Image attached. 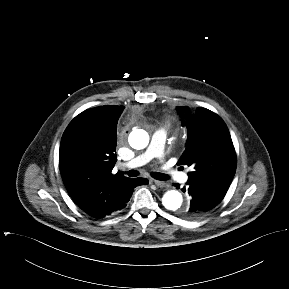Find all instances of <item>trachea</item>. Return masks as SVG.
I'll list each match as a JSON object with an SVG mask.
<instances>
[{
  "label": "trachea",
  "mask_w": 289,
  "mask_h": 289,
  "mask_svg": "<svg viewBox=\"0 0 289 289\" xmlns=\"http://www.w3.org/2000/svg\"><path fill=\"white\" fill-rule=\"evenodd\" d=\"M125 174H127L129 177H136V176H138L139 172L136 170H130V171L126 172ZM151 175L156 180L164 181V180L169 179V177L167 175L160 173V172H154Z\"/></svg>",
  "instance_id": "trachea-1"
}]
</instances>
